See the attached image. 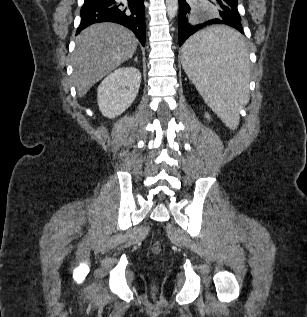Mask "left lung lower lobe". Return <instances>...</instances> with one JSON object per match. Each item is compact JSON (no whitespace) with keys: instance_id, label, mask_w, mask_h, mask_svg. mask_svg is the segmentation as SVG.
I'll use <instances>...</instances> for the list:
<instances>
[{"instance_id":"0a47b994","label":"left lung lower lobe","mask_w":307,"mask_h":317,"mask_svg":"<svg viewBox=\"0 0 307 317\" xmlns=\"http://www.w3.org/2000/svg\"><path fill=\"white\" fill-rule=\"evenodd\" d=\"M216 3L220 7V19H212L204 23H195L193 19L190 18L189 4L186 0H179V46H181L189 36L211 24H225L235 28L243 34V27L237 4L231 0H216ZM241 39L239 38L225 42L221 46L222 53L227 57L236 56L242 48Z\"/></svg>"}]
</instances>
